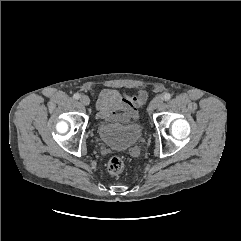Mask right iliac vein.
<instances>
[{"mask_svg": "<svg viewBox=\"0 0 241 241\" xmlns=\"http://www.w3.org/2000/svg\"><path fill=\"white\" fill-rule=\"evenodd\" d=\"M80 102L85 105V106H88L90 104V99L88 96L86 95H82L81 98H80Z\"/></svg>", "mask_w": 241, "mask_h": 241, "instance_id": "right-iliac-vein-1", "label": "right iliac vein"}]
</instances>
